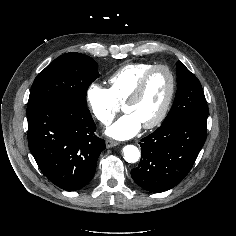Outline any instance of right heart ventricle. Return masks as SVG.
Wrapping results in <instances>:
<instances>
[{
    "label": "right heart ventricle",
    "mask_w": 236,
    "mask_h": 236,
    "mask_svg": "<svg viewBox=\"0 0 236 236\" xmlns=\"http://www.w3.org/2000/svg\"><path fill=\"white\" fill-rule=\"evenodd\" d=\"M152 63H132L119 68L108 79L109 90L119 104H124Z\"/></svg>",
    "instance_id": "1"
}]
</instances>
